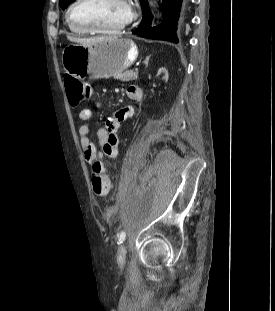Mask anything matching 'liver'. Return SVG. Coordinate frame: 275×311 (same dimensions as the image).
Returning a JSON list of instances; mask_svg holds the SVG:
<instances>
[{
    "mask_svg": "<svg viewBox=\"0 0 275 311\" xmlns=\"http://www.w3.org/2000/svg\"><path fill=\"white\" fill-rule=\"evenodd\" d=\"M71 41L77 42L79 44L83 45H91L96 42H101V41H111V40H116L118 37H94V38H73L69 37Z\"/></svg>",
    "mask_w": 275,
    "mask_h": 311,
    "instance_id": "obj_1",
    "label": "liver"
}]
</instances>
